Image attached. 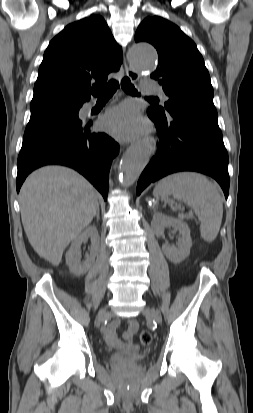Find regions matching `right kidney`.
Returning a JSON list of instances; mask_svg holds the SVG:
<instances>
[{
  "mask_svg": "<svg viewBox=\"0 0 253 413\" xmlns=\"http://www.w3.org/2000/svg\"><path fill=\"white\" fill-rule=\"evenodd\" d=\"M88 238L91 240L90 253L87 254L86 260L81 263V244L86 242ZM99 247L100 238L97 228L95 226H89L73 240L69 251L66 253V264L70 272L77 276L85 274L94 263Z\"/></svg>",
  "mask_w": 253,
  "mask_h": 413,
  "instance_id": "ca27d5eb",
  "label": "right kidney"
}]
</instances>
